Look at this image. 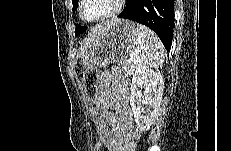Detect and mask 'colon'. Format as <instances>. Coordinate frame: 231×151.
<instances>
[{
	"label": "colon",
	"instance_id": "colon-1",
	"mask_svg": "<svg viewBox=\"0 0 231 151\" xmlns=\"http://www.w3.org/2000/svg\"><path fill=\"white\" fill-rule=\"evenodd\" d=\"M82 80L86 98L98 132L96 151H110L106 141L107 126L103 118V111L101 109L97 93L98 70L94 67L86 68L82 73Z\"/></svg>",
	"mask_w": 231,
	"mask_h": 151
}]
</instances>
